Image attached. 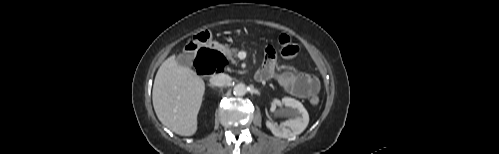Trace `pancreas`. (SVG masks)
<instances>
[{
	"label": "pancreas",
	"mask_w": 499,
	"mask_h": 154,
	"mask_svg": "<svg viewBox=\"0 0 499 154\" xmlns=\"http://www.w3.org/2000/svg\"><path fill=\"white\" fill-rule=\"evenodd\" d=\"M222 52L226 55V57L232 62L235 63L233 56L237 54L238 49H230L228 45L221 46Z\"/></svg>",
	"instance_id": "1"
}]
</instances>
